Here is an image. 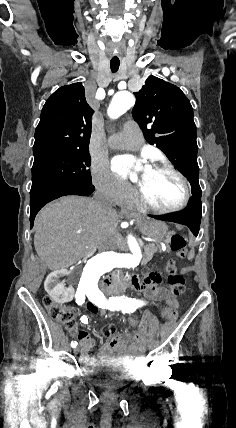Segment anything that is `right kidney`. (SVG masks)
Masks as SVG:
<instances>
[{"instance_id":"ca27d5eb","label":"right kidney","mask_w":236,"mask_h":428,"mask_svg":"<svg viewBox=\"0 0 236 428\" xmlns=\"http://www.w3.org/2000/svg\"><path fill=\"white\" fill-rule=\"evenodd\" d=\"M46 274L44 284L47 286V291L52 292L51 300L55 301L56 306H65L66 302H70V292H74L76 288L74 283H62L69 277V270L48 269Z\"/></svg>"}]
</instances>
